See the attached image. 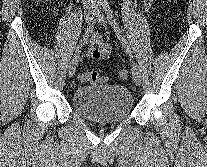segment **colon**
Here are the masks:
<instances>
[{
  "label": "colon",
  "mask_w": 207,
  "mask_h": 167,
  "mask_svg": "<svg viewBox=\"0 0 207 167\" xmlns=\"http://www.w3.org/2000/svg\"><path fill=\"white\" fill-rule=\"evenodd\" d=\"M118 76L121 80L126 81L129 79L130 74H129L128 70L122 69L119 71ZM80 79L83 82H91V83H104V82H106V77L100 75L96 71L81 73Z\"/></svg>",
  "instance_id": "colon-1"
}]
</instances>
